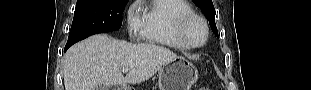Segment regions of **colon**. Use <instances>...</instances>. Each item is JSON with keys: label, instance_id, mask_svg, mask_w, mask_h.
Returning a JSON list of instances; mask_svg holds the SVG:
<instances>
[{"label": "colon", "instance_id": "5ec220e1", "mask_svg": "<svg viewBox=\"0 0 311 90\" xmlns=\"http://www.w3.org/2000/svg\"><path fill=\"white\" fill-rule=\"evenodd\" d=\"M199 90H209L208 87H201Z\"/></svg>", "mask_w": 311, "mask_h": 90}]
</instances>
